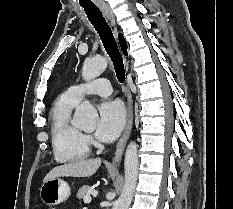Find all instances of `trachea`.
Returning a JSON list of instances; mask_svg holds the SVG:
<instances>
[{"mask_svg":"<svg viewBox=\"0 0 233 209\" xmlns=\"http://www.w3.org/2000/svg\"><path fill=\"white\" fill-rule=\"evenodd\" d=\"M83 8L89 21L92 23L97 33L101 37L104 48L113 62L118 81L123 83L125 81L123 58L118 49L110 26L97 6H83Z\"/></svg>","mask_w":233,"mask_h":209,"instance_id":"obj_1","label":"trachea"}]
</instances>
